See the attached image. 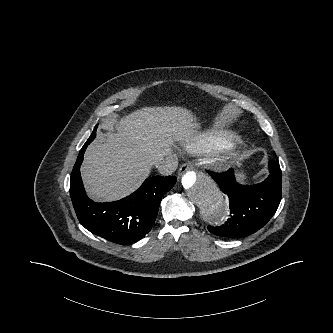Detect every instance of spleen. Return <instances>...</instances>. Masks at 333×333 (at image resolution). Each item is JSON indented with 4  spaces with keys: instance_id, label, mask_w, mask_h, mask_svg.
Returning a JSON list of instances; mask_svg holds the SVG:
<instances>
[{
    "instance_id": "3e777b00",
    "label": "spleen",
    "mask_w": 333,
    "mask_h": 333,
    "mask_svg": "<svg viewBox=\"0 0 333 333\" xmlns=\"http://www.w3.org/2000/svg\"><path fill=\"white\" fill-rule=\"evenodd\" d=\"M237 179L240 180V181H241V180H244V179H245V176H244L243 174H238V175H237Z\"/></svg>"
}]
</instances>
